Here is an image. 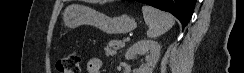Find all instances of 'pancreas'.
I'll list each match as a JSON object with an SVG mask.
<instances>
[{
	"label": "pancreas",
	"instance_id": "pancreas-1",
	"mask_svg": "<svg viewBox=\"0 0 244 73\" xmlns=\"http://www.w3.org/2000/svg\"><path fill=\"white\" fill-rule=\"evenodd\" d=\"M124 46L125 43L123 41L112 40L104 48V51L107 56H114L117 53V51Z\"/></svg>",
	"mask_w": 244,
	"mask_h": 73
}]
</instances>
